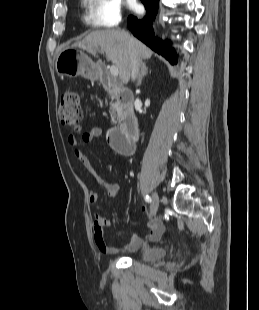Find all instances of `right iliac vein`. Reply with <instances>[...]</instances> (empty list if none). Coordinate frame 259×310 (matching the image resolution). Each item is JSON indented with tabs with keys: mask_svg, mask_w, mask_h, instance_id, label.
<instances>
[{
	"mask_svg": "<svg viewBox=\"0 0 259 310\" xmlns=\"http://www.w3.org/2000/svg\"><path fill=\"white\" fill-rule=\"evenodd\" d=\"M159 208V196L157 192L152 194V201H151V217L155 216Z\"/></svg>",
	"mask_w": 259,
	"mask_h": 310,
	"instance_id": "63e3f726",
	"label": "right iliac vein"
}]
</instances>
